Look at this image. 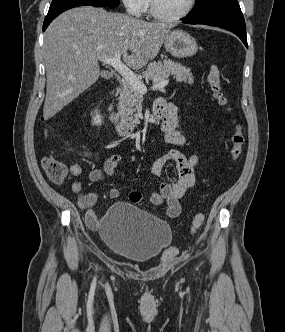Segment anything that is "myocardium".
Segmentation results:
<instances>
[{
  "instance_id": "1",
  "label": "myocardium",
  "mask_w": 285,
  "mask_h": 332,
  "mask_svg": "<svg viewBox=\"0 0 285 332\" xmlns=\"http://www.w3.org/2000/svg\"><path fill=\"white\" fill-rule=\"evenodd\" d=\"M149 1H150V13H151V15L155 19H157L159 21H164V22H176V21L184 19L185 17H187L192 12V10L194 9V7L196 5V2H197V0H190L187 8L183 12H181L178 15L169 16V15L162 14L158 10L155 0H149Z\"/></svg>"
}]
</instances>
